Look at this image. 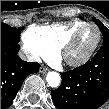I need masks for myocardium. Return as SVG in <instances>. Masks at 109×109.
<instances>
[{"label":"myocardium","instance_id":"1","mask_svg":"<svg viewBox=\"0 0 109 109\" xmlns=\"http://www.w3.org/2000/svg\"><path fill=\"white\" fill-rule=\"evenodd\" d=\"M87 27H94L97 30V39L94 42L93 46L90 48V50L84 54L83 56L73 59L69 56V52L72 49V47L76 44L80 34L87 28ZM102 38V33L100 28L95 23H85L84 25L76 28L71 35L68 37V39L63 43V45L59 48V52L63 58V60L71 67H80L84 64H86L92 56L95 54L96 50L99 47L100 41Z\"/></svg>","mask_w":109,"mask_h":109}]
</instances>
